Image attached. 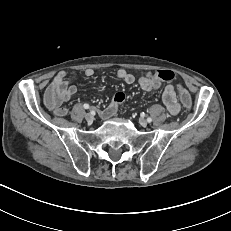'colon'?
Listing matches in <instances>:
<instances>
[{"mask_svg":"<svg viewBox=\"0 0 231 231\" xmlns=\"http://www.w3.org/2000/svg\"><path fill=\"white\" fill-rule=\"evenodd\" d=\"M154 76L159 81H171L174 79V73L170 70H159L154 73ZM59 92V87L56 84H51L48 87V90L43 94L42 105L45 108H50L53 104L56 103L55 95ZM177 96L180 100L181 106L186 110H191L194 107V102L192 100L190 92L185 88H179L177 91ZM125 101V94L122 92H117L113 96L112 103L116 106H119Z\"/></svg>","mask_w":231,"mask_h":231,"instance_id":"obj_1","label":"colon"}]
</instances>
